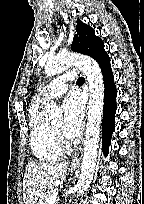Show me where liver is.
Wrapping results in <instances>:
<instances>
[{"instance_id":"1","label":"liver","mask_w":144,"mask_h":204,"mask_svg":"<svg viewBox=\"0 0 144 204\" xmlns=\"http://www.w3.org/2000/svg\"><path fill=\"white\" fill-rule=\"evenodd\" d=\"M67 169V163L29 162L23 180V203L36 204L46 190L62 185Z\"/></svg>"}]
</instances>
